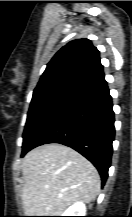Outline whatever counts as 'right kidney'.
I'll use <instances>...</instances> for the list:
<instances>
[{
  "instance_id": "1",
  "label": "right kidney",
  "mask_w": 132,
  "mask_h": 217,
  "mask_svg": "<svg viewBox=\"0 0 132 217\" xmlns=\"http://www.w3.org/2000/svg\"><path fill=\"white\" fill-rule=\"evenodd\" d=\"M86 207L82 202H76L70 206L62 216H85Z\"/></svg>"
}]
</instances>
